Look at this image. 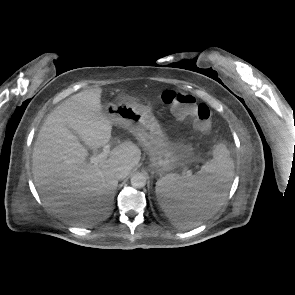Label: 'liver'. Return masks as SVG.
<instances>
[{"instance_id": "1", "label": "liver", "mask_w": 295, "mask_h": 295, "mask_svg": "<svg viewBox=\"0 0 295 295\" xmlns=\"http://www.w3.org/2000/svg\"><path fill=\"white\" fill-rule=\"evenodd\" d=\"M101 93V88L90 89L64 100L46 118L33 148L35 186L45 205L64 221H87L105 211L118 186L116 169L130 172L141 159L139 147L125 141L98 165L86 161L87 147L99 148L111 138L112 122L102 109Z\"/></svg>"}]
</instances>
